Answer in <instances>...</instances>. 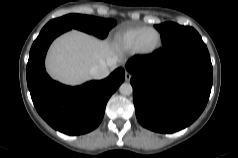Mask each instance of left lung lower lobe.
<instances>
[{"mask_svg":"<svg viewBox=\"0 0 238 158\" xmlns=\"http://www.w3.org/2000/svg\"><path fill=\"white\" fill-rule=\"evenodd\" d=\"M133 101L139 123L173 133L192 124L204 110L213 83L206 45L197 32L179 37L152 55L133 56Z\"/></svg>","mask_w":238,"mask_h":158,"instance_id":"0a47b994","label":"left lung lower lobe"}]
</instances>
